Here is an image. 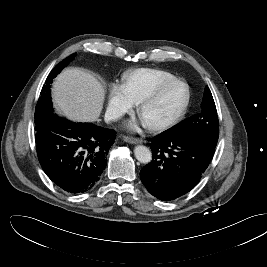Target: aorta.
<instances>
[{
    "mask_svg": "<svg viewBox=\"0 0 267 267\" xmlns=\"http://www.w3.org/2000/svg\"><path fill=\"white\" fill-rule=\"evenodd\" d=\"M134 154L136 159L141 163L147 164L152 160V153L146 146H136L134 149Z\"/></svg>",
    "mask_w": 267,
    "mask_h": 267,
    "instance_id": "1",
    "label": "aorta"
}]
</instances>
